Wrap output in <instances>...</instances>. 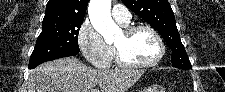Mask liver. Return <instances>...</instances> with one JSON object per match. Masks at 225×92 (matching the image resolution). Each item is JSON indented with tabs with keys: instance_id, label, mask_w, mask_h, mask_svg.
<instances>
[{
	"instance_id": "1",
	"label": "liver",
	"mask_w": 225,
	"mask_h": 92,
	"mask_svg": "<svg viewBox=\"0 0 225 92\" xmlns=\"http://www.w3.org/2000/svg\"><path fill=\"white\" fill-rule=\"evenodd\" d=\"M143 73L137 69H92L75 57H65L31 70L26 92H126Z\"/></svg>"
}]
</instances>
